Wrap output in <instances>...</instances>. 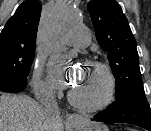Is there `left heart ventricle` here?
<instances>
[{"mask_svg": "<svg viewBox=\"0 0 151 131\" xmlns=\"http://www.w3.org/2000/svg\"><path fill=\"white\" fill-rule=\"evenodd\" d=\"M106 81L103 73L95 68L85 67L72 88V92L84 101H95L105 91Z\"/></svg>", "mask_w": 151, "mask_h": 131, "instance_id": "1", "label": "left heart ventricle"}]
</instances>
